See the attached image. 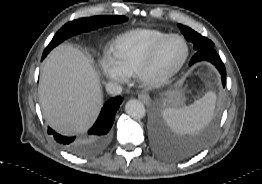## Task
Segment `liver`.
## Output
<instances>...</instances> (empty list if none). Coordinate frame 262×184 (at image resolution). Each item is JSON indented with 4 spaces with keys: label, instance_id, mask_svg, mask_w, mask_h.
I'll return each instance as SVG.
<instances>
[{
    "label": "liver",
    "instance_id": "obj_1",
    "mask_svg": "<svg viewBox=\"0 0 262 184\" xmlns=\"http://www.w3.org/2000/svg\"><path fill=\"white\" fill-rule=\"evenodd\" d=\"M39 93L47 122L65 135L87 130L103 103L98 74L89 59L70 44L58 46L47 57Z\"/></svg>",
    "mask_w": 262,
    "mask_h": 184
}]
</instances>
